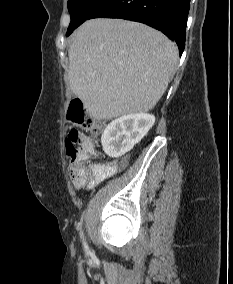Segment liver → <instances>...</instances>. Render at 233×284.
<instances>
[{"instance_id": "6515ba94", "label": "liver", "mask_w": 233, "mask_h": 284, "mask_svg": "<svg viewBox=\"0 0 233 284\" xmlns=\"http://www.w3.org/2000/svg\"><path fill=\"white\" fill-rule=\"evenodd\" d=\"M68 79L98 120L151 110L164 94L178 48L163 33L122 19H92L74 33Z\"/></svg>"}]
</instances>
